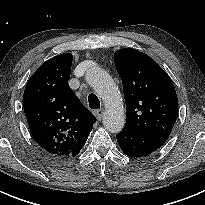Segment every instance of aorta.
<instances>
[{"instance_id": "obj_1", "label": "aorta", "mask_w": 205, "mask_h": 205, "mask_svg": "<svg viewBox=\"0 0 205 205\" xmlns=\"http://www.w3.org/2000/svg\"><path fill=\"white\" fill-rule=\"evenodd\" d=\"M86 81L102 98L105 105L103 124L112 132H120L125 125V113L120 92L111 76L99 67H93L86 73Z\"/></svg>"}]
</instances>
